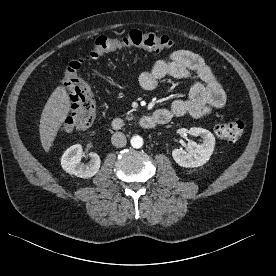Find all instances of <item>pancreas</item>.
Here are the masks:
<instances>
[{"mask_svg": "<svg viewBox=\"0 0 276 276\" xmlns=\"http://www.w3.org/2000/svg\"><path fill=\"white\" fill-rule=\"evenodd\" d=\"M133 118H135V116L131 112L126 113V119L127 120H132Z\"/></svg>", "mask_w": 276, "mask_h": 276, "instance_id": "1", "label": "pancreas"}]
</instances>
